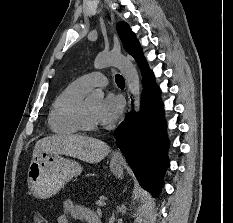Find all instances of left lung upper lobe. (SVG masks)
<instances>
[{
    "label": "left lung upper lobe",
    "instance_id": "left-lung-upper-lobe-1",
    "mask_svg": "<svg viewBox=\"0 0 233 223\" xmlns=\"http://www.w3.org/2000/svg\"><path fill=\"white\" fill-rule=\"evenodd\" d=\"M117 31L126 51L136 59L142 50L135 34L125 22L117 24Z\"/></svg>",
    "mask_w": 233,
    "mask_h": 223
}]
</instances>
